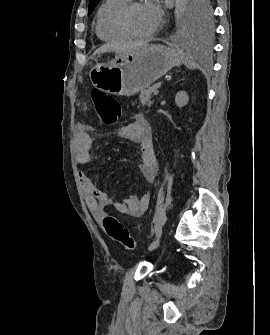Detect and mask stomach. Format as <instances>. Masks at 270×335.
I'll use <instances>...</instances> for the list:
<instances>
[{
    "label": "stomach",
    "mask_w": 270,
    "mask_h": 335,
    "mask_svg": "<svg viewBox=\"0 0 270 335\" xmlns=\"http://www.w3.org/2000/svg\"><path fill=\"white\" fill-rule=\"evenodd\" d=\"M183 54L178 48L152 44L116 56L110 66L97 64L90 72L93 86L113 96H134L149 88L174 66H180Z\"/></svg>",
    "instance_id": "1"
}]
</instances>
